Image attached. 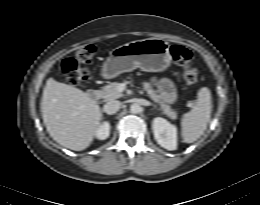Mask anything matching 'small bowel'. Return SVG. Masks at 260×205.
<instances>
[{"label":"small bowel","instance_id":"1","mask_svg":"<svg viewBox=\"0 0 260 205\" xmlns=\"http://www.w3.org/2000/svg\"><path fill=\"white\" fill-rule=\"evenodd\" d=\"M152 84L158 88L159 95L163 100L167 102H173L175 100V90L169 80L153 78Z\"/></svg>","mask_w":260,"mask_h":205}]
</instances>
